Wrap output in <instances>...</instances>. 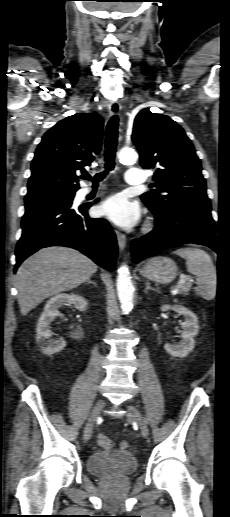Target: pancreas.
I'll use <instances>...</instances> for the list:
<instances>
[{
	"label": "pancreas",
	"mask_w": 230,
	"mask_h": 517,
	"mask_svg": "<svg viewBox=\"0 0 230 517\" xmlns=\"http://www.w3.org/2000/svg\"><path fill=\"white\" fill-rule=\"evenodd\" d=\"M190 287H191V283H187V284H185V285H184V286L179 290V293L187 295V294H188V291L190 290Z\"/></svg>",
	"instance_id": "1"
}]
</instances>
